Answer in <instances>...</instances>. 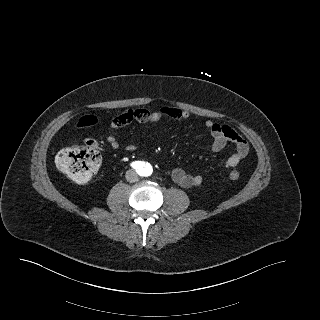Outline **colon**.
I'll return each mask as SVG.
<instances>
[{
	"mask_svg": "<svg viewBox=\"0 0 320 320\" xmlns=\"http://www.w3.org/2000/svg\"><path fill=\"white\" fill-rule=\"evenodd\" d=\"M97 119L86 116L79 122V126L86 128L95 125ZM101 163L100 145L95 138H88L82 144L61 150L56 157V165L78 185L88 184L97 172ZM239 173L232 171L229 178L233 181L239 179Z\"/></svg>",
	"mask_w": 320,
	"mask_h": 320,
	"instance_id": "colon-1",
	"label": "colon"
}]
</instances>
